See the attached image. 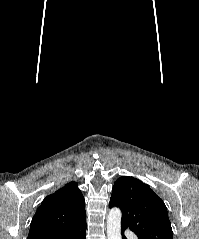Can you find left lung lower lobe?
<instances>
[{
  "mask_svg": "<svg viewBox=\"0 0 199 239\" xmlns=\"http://www.w3.org/2000/svg\"><path fill=\"white\" fill-rule=\"evenodd\" d=\"M125 229H126L125 227L121 226L122 239H127V238L125 237V235H124V230H125Z\"/></svg>",
  "mask_w": 199,
  "mask_h": 239,
  "instance_id": "1",
  "label": "left lung lower lobe"
}]
</instances>
